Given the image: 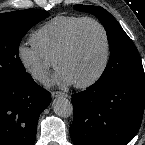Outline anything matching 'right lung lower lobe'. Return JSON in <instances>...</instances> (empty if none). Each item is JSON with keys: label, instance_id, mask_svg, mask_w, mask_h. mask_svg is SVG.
I'll return each mask as SVG.
<instances>
[{"label": "right lung lower lobe", "instance_id": "98d812e1", "mask_svg": "<svg viewBox=\"0 0 145 145\" xmlns=\"http://www.w3.org/2000/svg\"><path fill=\"white\" fill-rule=\"evenodd\" d=\"M49 104V92L30 75L0 85V145H33L38 118Z\"/></svg>", "mask_w": 145, "mask_h": 145}]
</instances>
